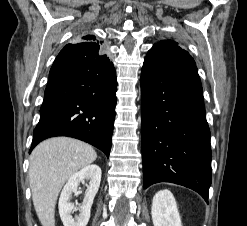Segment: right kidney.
<instances>
[{"mask_svg":"<svg viewBox=\"0 0 247 226\" xmlns=\"http://www.w3.org/2000/svg\"><path fill=\"white\" fill-rule=\"evenodd\" d=\"M90 180L82 205L77 208L70 202L72 193H77L80 182ZM101 181V169L92 164L73 174L64 186L59 198V213L64 226H86L90 218V209ZM79 210V215L72 217L74 211Z\"/></svg>","mask_w":247,"mask_h":226,"instance_id":"1","label":"right kidney"}]
</instances>
